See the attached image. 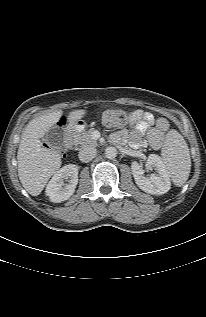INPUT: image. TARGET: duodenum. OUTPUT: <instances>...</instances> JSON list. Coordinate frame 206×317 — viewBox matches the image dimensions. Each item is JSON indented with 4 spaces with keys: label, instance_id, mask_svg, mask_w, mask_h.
I'll list each match as a JSON object with an SVG mask.
<instances>
[{
    "label": "duodenum",
    "instance_id": "obj_1",
    "mask_svg": "<svg viewBox=\"0 0 206 317\" xmlns=\"http://www.w3.org/2000/svg\"><path fill=\"white\" fill-rule=\"evenodd\" d=\"M81 129V123L79 121H74L69 128L65 131V142L64 145L67 148L72 147L74 143V136L77 131Z\"/></svg>",
    "mask_w": 206,
    "mask_h": 317
}]
</instances>
